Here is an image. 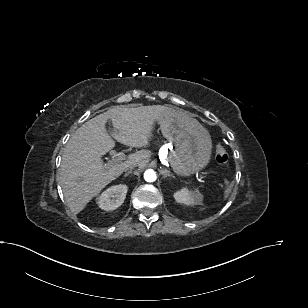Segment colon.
Instances as JSON below:
<instances>
[{
    "instance_id": "1",
    "label": "colon",
    "mask_w": 308,
    "mask_h": 308,
    "mask_svg": "<svg viewBox=\"0 0 308 308\" xmlns=\"http://www.w3.org/2000/svg\"><path fill=\"white\" fill-rule=\"evenodd\" d=\"M215 158L216 161L221 165L225 164L228 160V154L220 144L216 146Z\"/></svg>"
}]
</instances>
